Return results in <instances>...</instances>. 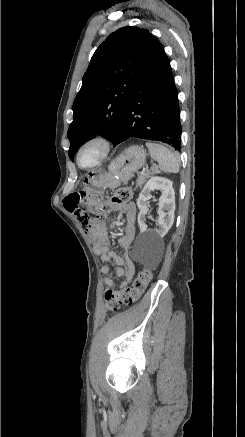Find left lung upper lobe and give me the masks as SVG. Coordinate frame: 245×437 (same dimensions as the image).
Segmentation results:
<instances>
[{
  "mask_svg": "<svg viewBox=\"0 0 245 437\" xmlns=\"http://www.w3.org/2000/svg\"><path fill=\"white\" fill-rule=\"evenodd\" d=\"M159 45L148 30L127 26L97 48L73 103L68 130L72 161L78 148L99 134L115 144L129 96Z\"/></svg>",
  "mask_w": 245,
  "mask_h": 437,
  "instance_id": "obj_1",
  "label": "left lung upper lobe"
}]
</instances>
